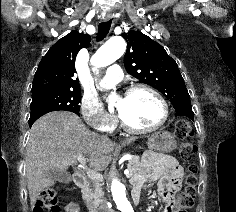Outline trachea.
I'll return each mask as SVG.
<instances>
[{
  "label": "trachea",
  "mask_w": 236,
  "mask_h": 212,
  "mask_svg": "<svg viewBox=\"0 0 236 212\" xmlns=\"http://www.w3.org/2000/svg\"><path fill=\"white\" fill-rule=\"evenodd\" d=\"M112 20L102 22L98 26V36L97 40L102 41L108 34L111 27Z\"/></svg>",
  "instance_id": "obj_1"
}]
</instances>
